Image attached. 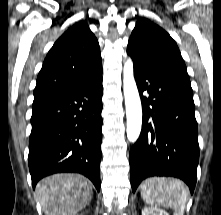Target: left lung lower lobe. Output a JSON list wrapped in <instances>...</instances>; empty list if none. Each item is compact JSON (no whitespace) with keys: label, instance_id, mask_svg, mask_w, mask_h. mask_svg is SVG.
Here are the masks:
<instances>
[{"label":"left lung lower lobe","instance_id":"1","mask_svg":"<svg viewBox=\"0 0 221 215\" xmlns=\"http://www.w3.org/2000/svg\"><path fill=\"white\" fill-rule=\"evenodd\" d=\"M134 77L143 121L129 155L133 192L147 177L173 176L186 182L193 193L199 145L190 81L175 71L135 63Z\"/></svg>","mask_w":221,"mask_h":215}]
</instances>
